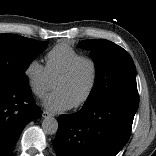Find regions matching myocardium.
<instances>
[{
  "mask_svg": "<svg viewBox=\"0 0 156 156\" xmlns=\"http://www.w3.org/2000/svg\"><path fill=\"white\" fill-rule=\"evenodd\" d=\"M83 63H88L91 66V68H92V79H91L90 86H89L88 90L86 91V93L84 94V96L80 100H78L75 104H73L72 107H74V108H80V107L84 106L93 96V94L96 90V87L98 85V81H99V66H98L97 62L90 57H80L77 60H75L54 81V83H56L58 81L67 80V79L71 78L75 74L77 69Z\"/></svg>",
  "mask_w": 156,
  "mask_h": 156,
  "instance_id": "obj_1",
  "label": "myocardium"
}]
</instances>
